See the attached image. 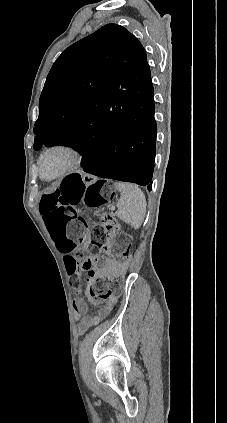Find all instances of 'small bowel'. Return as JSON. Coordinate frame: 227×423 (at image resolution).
<instances>
[{
	"label": "small bowel",
	"mask_w": 227,
	"mask_h": 423,
	"mask_svg": "<svg viewBox=\"0 0 227 423\" xmlns=\"http://www.w3.org/2000/svg\"><path fill=\"white\" fill-rule=\"evenodd\" d=\"M118 265L113 262L112 260H108L105 264V267L102 273H113L117 270ZM116 300L114 298L110 299L106 304L102 306V308L98 311V313L94 315H88V306L83 299L77 298L73 301V308L76 313V316L83 315L79 323V332L84 333L92 326L97 325L100 323L112 310Z\"/></svg>",
	"instance_id": "obj_1"
}]
</instances>
